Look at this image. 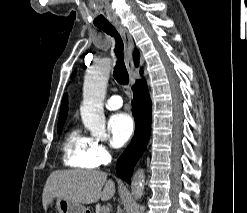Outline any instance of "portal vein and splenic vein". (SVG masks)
<instances>
[{
  "label": "portal vein and splenic vein",
  "instance_id": "1",
  "mask_svg": "<svg viewBox=\"0 0 247 213\" xmlns=\"http://www.w3.org/2000/svg\"><path fill=\"white\" fill-rule=\"evenodd\" d=\"M110 210L107 206H102L100 209V213H109Z\"/></svg>",
  "mask_w": 247,
  "mask_h": 213
}]
</instances>
